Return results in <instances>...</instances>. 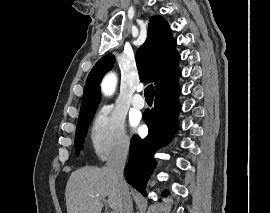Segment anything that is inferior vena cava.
Returning <instances> with one entry per match:
<instances>
[{"label": "inferior vena cava", "mask_w": 270, "mask_h": 213, "mask_svg": "<svg viewBox=\"0 0 270 213\" xmlns=\"http://www.w3.org/2000/svg\"><path fill=\"white\" fill-rule=\"evenodd\" d=\"M128 152L129 144L127 142H123L112 150L106 163L107 170L114 178L120 189L122 197V208L120 213H132L133 210L128 184L124 178V167Z\"/></svg>", "instance_id": "602c4592"}]
</instances>
